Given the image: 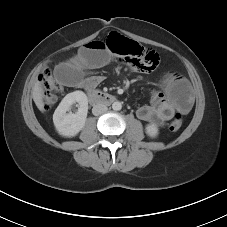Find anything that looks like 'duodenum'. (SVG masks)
<instances>
[{"mask_svg": "<svg viewBox=\"0 0 227 227\" xmlns=\"http://www.w3.org/2000/svg\"><path fill=\"white\" fill-rule=\"evenodd\" d=\"M87 97L91 104L98 105V104H111L116 100V97L112 94L96 91V90H88Z\"/></svg>", "mask_w": 227, "mask_h": 227, "instance_id": "1", "label": "duodenum"}]
</instances>
